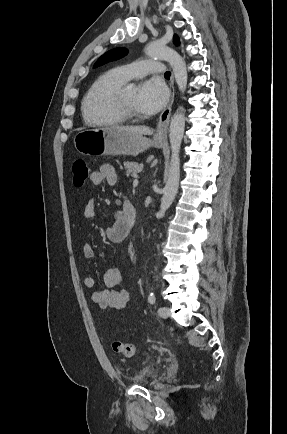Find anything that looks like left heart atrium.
Wrapping results in <instances>:
<instances>
[{
  "label": "left heart atrium",
  "mask_w": 287,
  "mask_h": 434,
  "mask_svg": "<svg viewBox=\"0 0 287 434\" xmlns=\"http://www.w3.org/2000/svg\"><path fill=\"white\" fill-rule=\"evenodd\" d=\"M169 92L166 85L159 79L143 82L136 92V103L139 110L146 114H153L164 107Z\"/></svg>",
  "instance_id": "left-heart-atrium-1"
}]
</instances>
